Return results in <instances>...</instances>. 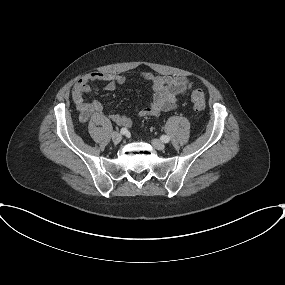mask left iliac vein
Masks as SVG:
<instances>
[{
	"instance_id": "left-iliac-vein-1",
	"label": "left iliac vein",
	"mask_w": 285,
	"mask_h": 285,
	"mask_svg": "<svg viewBox=\"0 0 285 285\" xmlns=\"http://www.w3.org/2000/svg\"><path fill=\"white\" fill-rule=\"evenodd\" d=\"M152 145L157 150H163L165 148V144L162 141L158 140V139H153L152 140Z\"/></svg>"
}]
</instances>
